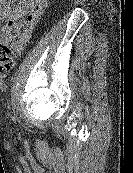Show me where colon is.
Here are the masks:
<instances>
[{"instance_id": "5ec220e1", "label": "colon", "mask_w": 133, "mask_h": 173, "mask_svg": "<svg viewBox=\"0 0 133 173\" xmlns=\"http://www.w3.org/2000/svg\"><path fill=\"white\" fill-rule=\"evenodd\" d=\"M16 59V48L0 43V75L8 74L15 67Z\"/></svg>"}]
</instances>
